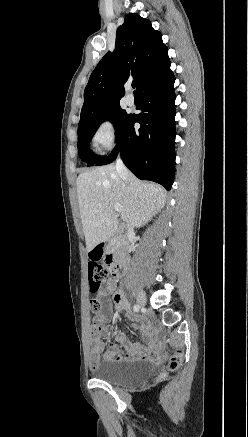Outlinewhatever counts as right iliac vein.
<instances>
[{"instance_id":"1","label":"right iliac vein","mask_w":248,"mask_h":437,"mask_svg":"<svg viewBox=\"0 0 248 437\" xmlns=\"http://www.w3.org/2000/svg\"><path fill=\"white\" fill-rule=\"evenodd\" d=\"M136 299L139 307L145 306L146 297H145V293L142 290L138 291Z\"/></svg>"}]
</instances>
